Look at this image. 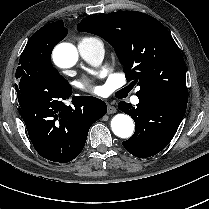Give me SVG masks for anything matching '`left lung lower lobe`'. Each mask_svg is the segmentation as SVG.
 <instances>
[{
  "instance_id": "left-lung-lower-lobe-1",
  "label": "left lung lower lobe",
  "mask_w": 209,
  "mask_h": 209,
  "mask_svg": "<svg viewBox=\"0 0 209 209\" xmlns=\"http://www.w3.org/2000/svg\"><path fill=\"white\" fill-rule=\"evenodd\" d=\"M137 108L121 101L118 108L130 115L136 124L133 136L122 142L125 149L139 158L153 156L163 150L174 137L187 104L141 96Z\"/></svg>"
}]
</instances>
